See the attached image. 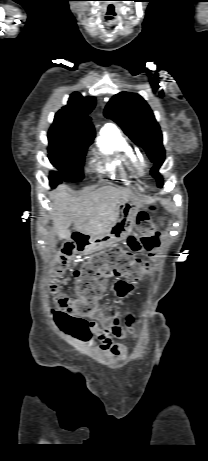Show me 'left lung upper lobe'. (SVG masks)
<instances>
[{
    "instance_id": "obj_1",
    "label": "left lung upper lobe",
    "mask_w": 208,
    "mask_h": 461,
    "mask_svg": "<svg viewBox=\"0 0 208 461\" xmlns=\"http://www.w3.org/2000/svg\"><path fill=\"white\" fill-rule=\"evenodd\" d=\"M104 115L118 123L125 134L146 151L154 163L151 174L162 187L163 178L158 172L165 159L162 133L146 101L138 94L121 92L107 103Z\"/></svg>"
}]
</instances>
